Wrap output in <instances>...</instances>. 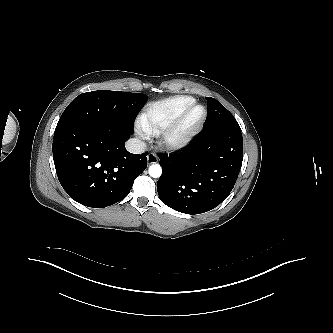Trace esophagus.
I'll return each mask as SVG.
<instances>
[{
  "label": "esophagus",
  "mask_w": 333,
  "mask_h": 333,
  "mask_svg": "<svg viewBox=\"0 0 333 333\" xmlns=\"http://www.w3.org/2000/svg\"><path fill=\"white\" fill-rule=\"evenodd\" d=\"M148 164H154L158 162V157L154 153H149L147 155Z\"/></svg>",
  "instance_id": "esophagus-1"
}]
</instances>
